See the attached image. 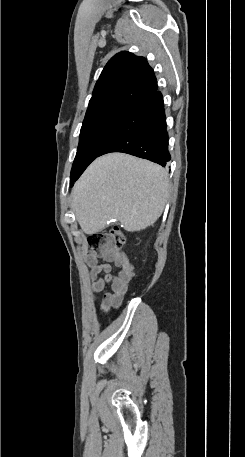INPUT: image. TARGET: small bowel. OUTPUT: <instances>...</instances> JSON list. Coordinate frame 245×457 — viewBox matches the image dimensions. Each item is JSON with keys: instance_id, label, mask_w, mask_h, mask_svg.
<instances>
[{"instance_id": "1", "label": "small bowel", "mask_w": 245, "mask_h": 457, "mask_svg": "<svg viewBox=\"0 0 245 457\" xmlns=\"http://www.w3.org/2000/svg\"><path fill=\"white\" fill-rule=\"evenodd\" d=\"M100 260L104 262L101 263ZM85 262L90 268L88 276L93 293L96 294L107 289L99 304L100 310L108 312L120 307L129 284L136 276L135 267L127 255L124 252H116L105 257L89 255ZM113 266L118 269L116 274L113 273Z\"/></svg>"}]
</instances>
